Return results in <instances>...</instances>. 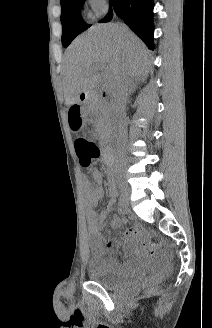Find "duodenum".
<instances>
[{"mask_svg":"<svg viewBox=\"0 0 212 328\" xmlns=\"http://www.w3.org/2000/svg\"><path fill=\"white\" fill-rule=\"evenodd\" d=\"M100 96H101L102 98H106V97H111L112 94H111L107 89H103V90L101 91ZM91 98H92L91 95L86 93L85 95H83L82 97H80V102H81V103H85V102L91 100ZM102 155H103L105 161H106L108 164H110L111 147H110V146H105V147L103 148ZM110 171H111V170H110ZM110 171H109V172H110Z\"/></svg>","mask_w":212,"mask_h":328,"instance_id":"1","label":"duodenum"}]
</instances>
